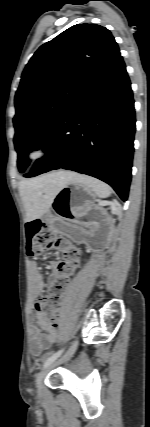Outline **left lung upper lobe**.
Masks as SVG:
<instances>
[{"label":"left lung upper lobe","mask_w":150,"mask_h":427,"mask_svg":"<svg viewBox=\"0 0 150 427\" xmlns=\"http://www.w3.org/2000/svg\"><path fill=\"white\" fill-rule=\"evenodd\" d=\"M118 51L108 29L84 23L35 52L15 95L14 144L20 172L29 164L27 153L42 146L87 81Z\"/></svg>","instance_id":"1"}]
</instances>
